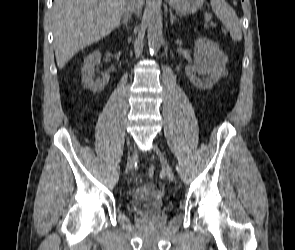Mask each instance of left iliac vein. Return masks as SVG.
Here are the masks:
<instances>
[{
	"label": "left iliac vein",
	"instance_id": "4c4485c4",
	"mask_svg": "<svg viewBox=\"0 0 295 250\" xmlns=\"http://www.w3.org/2000/svg\"><path fill=\"white\" fill-rule=\"evenodd\" d=\"M154 151L160 156L161 161H162V168L164 170V172L166 173L167 178L170 181H174V174L173 171L169 165V163L167 162L165 156L163 155L162 151L160 150V148L158 147L157 144H154Z\"/></svg>",
	"mask_w": 295,
	"mask_h": 250
}]
</instances>
